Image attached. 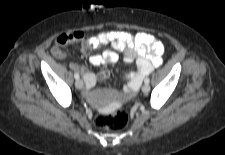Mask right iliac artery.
I'll use <instances>...</instances> for the list:
<instances>
[{
  "mask_svg": "<svg viewBox=\"0 0 225 155\" xmlns=\"http://www.w3.org/2000/svg\"><path fill=\"white\" fill-rule=\"evenodd\" d=\"M75 79H79V74L77 72L74 73Z\"/></svg>",
  "mask_w": 225,
  "mask_h": 155,
  "instance_id": "1",
  "label": "right iliac artery"
}]
</instances>
